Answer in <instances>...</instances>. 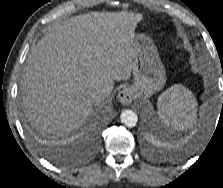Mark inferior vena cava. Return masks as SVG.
<instances>
[{"instance_id": "obj_1", "label": "inferior vena cava", "mask_w": 223, "mask_h": 188, "mask_svg": "<svg viewBox=\"0 0 223 188\" xmlns=\"http://www.w3.org/2000/svg\"><path fill=\"white\" fill-rule=\"evenodd\" d=\"M109 95V89L105 87L93 89L90 92V99L93 103H99L103 101Z\"/></svg>"}]
</instances>
